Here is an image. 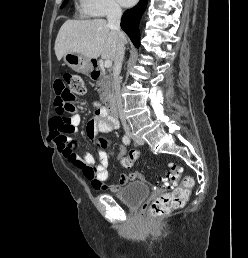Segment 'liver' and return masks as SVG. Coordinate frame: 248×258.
Here are the masks:
<instances>
[{"label":"liver","instance_id":"obj_1","mask_svg":"<svg viewBox=\"0 0 248 258\" xmlns=\"http://www.w3.org/2000/svg\"><path fill=\"white\" fill-rule=\"evenodd\" d=\"M118 42V34L104 19L67 20L58 32L54 49L58 61L68 52L90 60L99 56L114 60Z\"/></svg>","mask_w":248,"mask_h":258}]
</instances>
